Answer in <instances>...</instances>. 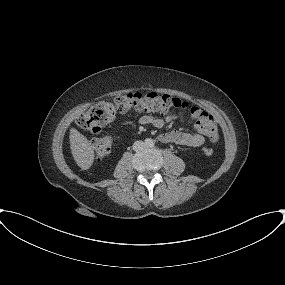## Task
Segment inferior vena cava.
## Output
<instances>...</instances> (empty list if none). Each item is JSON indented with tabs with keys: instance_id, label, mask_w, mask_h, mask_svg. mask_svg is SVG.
Instances as JSON below:
<instances>
[{
	"instance_id": "602c4592",
	"label": "inferior vena cava",
	"mask_w": 285,
	"mask_h": 285,
	"mask_svg": "<svg viewBox=\"0 0 285 285\" xmlns=\"http://www.w3.org/2000/svg\"><path fill=\"white\" fill-rule=\"evenodd\" d=\"M145 147H146V145L143 141H136L133 144V150L134 151H142Z\"/></svg>"
}]
</instances>
